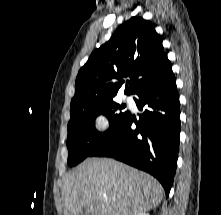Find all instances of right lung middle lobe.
<instances>
[{"mask_svg":"<svg viewBox=\"0 0 221 215\" xmlns=\"http://www.w3.org/2000/svg\"><path fill=\"white\" fill-rule=\"evenodd\" d=\"M125 105H119L113 99L95 103L72 104L71 118L68 123V165L75 166L101 145L118 127L129 113L121 110ZM103 114L110 122L109 129L100 133L95 129V118Z\"/></svg>","mask_w":221,"mask_h":215,"instance_id":"1","label":"right lung middle lobe"}]
</instances>
